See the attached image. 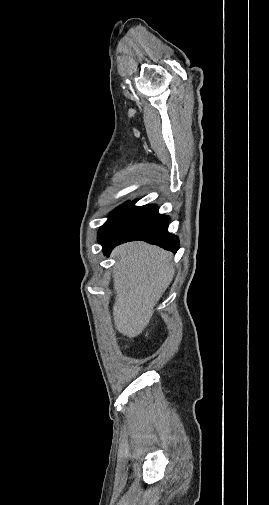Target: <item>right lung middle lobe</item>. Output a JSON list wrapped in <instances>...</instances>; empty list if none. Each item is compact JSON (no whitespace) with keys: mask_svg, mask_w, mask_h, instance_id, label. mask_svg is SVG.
Instances as JSON below:
<instances>
[{"mask_svg":"<svg viewBox=\"0 0 269 505\" xmlns=\"http://www.w3.org/2000/svg\"><path fill=\"white\" fill-rule=\"evenodd\" d=\"M127 203L121 205L120 207L116 208L110 215L106 223L100 228L98 232V240L101 241L104 235L106 234L107 230L109 229L110 225L112 222L115 220V218L118 216V214L126 207Z\"/></svg>","mask_w":269,"mask_h":505,"instance_id":"1","label":"right lung middle lobe"}]
</instances>
